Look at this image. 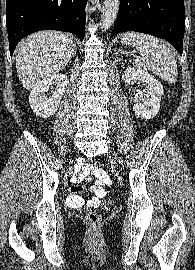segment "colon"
Wrapping results in <instances>:
<instances>
[{
  "label": "colon",
  "instance_id": "1",
  "mask_svg": "<svg viewBox=\"0 0 195 270\" xmlns=\"http://www.w3.org/2000/svg\"><path fill=\"white\" fill-rule=\"evenodd\" d=\"M113 203H114L113 200L108 199L105 204H106V206L109 207V206H112ZM86 223L91 230H93V231L97 230L98 227L100 226L99 215L94 211L89 212L86 215Z\"/></svg>",
  "mask_w": 195,
  "mask_h": 270
}]
</instances>
